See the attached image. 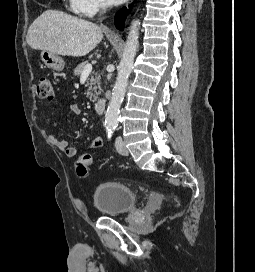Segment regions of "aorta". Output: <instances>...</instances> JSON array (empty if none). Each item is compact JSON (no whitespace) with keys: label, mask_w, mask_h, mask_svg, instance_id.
Returning <instances> with one entry per match:
<instances>
[{"label":"aorta","mask_w":255,"mask_h":272,"mask_svg":"<svg viewBox=\"0 0 255 272\" xmlns=\"http://www.w3.org/2000/svg\"><path fill=\"white\" fill-rule=\"evenodd\" d=\"M139 28V21H134L130 26L125 48L118 66L112 97L105 113L106 129H114L118 125L120 107L126 93L128 79L133 70L134 58L139 45Z\"/></svg>","instance_id":"762f6f07"}]
</instances>
